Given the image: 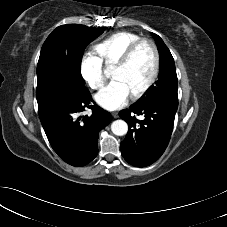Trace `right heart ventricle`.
<instances>
[{
    "mask_svg": "<svg viewBox=\"0 0 227 227\" xmlns=\"http://www.w3.org/2000/svg\"><path fill=\"white\" fill-rule=\"evenodd\" d=\"M140 36L129 31H119L111 34L96 44L95 50L100 60L106 65L115 64L126 49Z\"/></svg>",
    "mask_w": 227,
    "mask_h": 227,
    "instance_id": "obj_1",
    "label": "right heart ventricle"
}]
</instances>
